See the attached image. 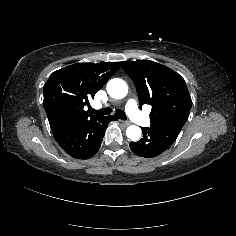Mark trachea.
<instances>
[{
	"label": "trachea",
	"instance_id": "1",
	"mask_svg": "<svg viewBox=\"0 0 236 236\" xmlns=\"http://www.w3.org/2000/svg\"><path fill=\"white\" fill-rule=\"evenodd\" d=\"M91 112L96 114V115H101V116H106L109 115L111 113V108H104L101 110H94L91 108ZM115 115L117 118L122 119V120H126V114L123 110L121 109H117L115 112Z\"/></svg>",
	"mask_w": 236,
	"mask_h": 236
}]
</instances>
